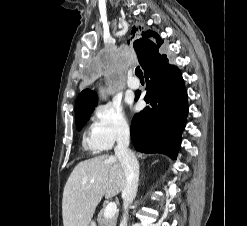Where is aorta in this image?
Returning a JSON list of instances; mask_svg holds the SVG:
<instances>
[{
	"instance_id": "obj_1",
	"label": "aorta",
	"mask_w": 247,
	"mask_h": 226,
	"mask_svg": "<svg viewBox=\"0 0 247 226\" xmlns=\"http://www.w3.org/2000/svg\"><path fill=\"white\" fill-rule=\"evenodd\" d=\"M101 92H102V96L104 97V91L102 90Z\"/></svg>"
}]
</instances>
